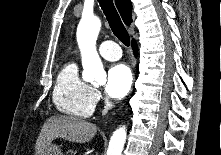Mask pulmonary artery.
Listing matches in <instances>:
<instances>
[{"label":"pulmonary artery","mask_w":221,"mask_h":155,"mask_svg":"<svg viewBox=\"0 0 221 155\" xmlns=\"http://www.w3.org/2000/svg\"><path fill=\"white\" fill-rule=\"evenodd\" d=\"M99 53L100 55L109 61H115L120 59L121 57V49L119 45L114 41H104L99 46Z\"/></svg>","instance_id":"obj_1"}]
</instances>
